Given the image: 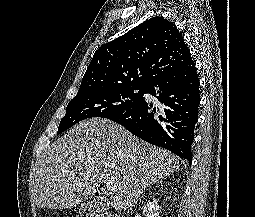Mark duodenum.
Returning a JSON list of instances; mask_svg holds the SVG:
<instances>
[{
	"instance_id": "1",
	"label": "duodenum",
	"mask_w": 255,
	"mask_h": 217,
	"mask_svg": "<svg viewBox=\"0 0 255 217\" xmlns=\"http://www.w3.org/2000/svg\"><path fill=\"white\" fill-rule=\"evenodd\" d=\"M95 217H121L120 215H118L117 213H96Z\"/></svg>"
}]
</instances>
